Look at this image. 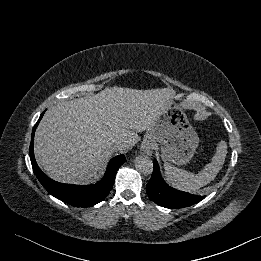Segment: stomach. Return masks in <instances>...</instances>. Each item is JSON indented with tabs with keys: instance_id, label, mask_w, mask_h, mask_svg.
Segmentation results:
<instances>
[{
	"instance_id": "obj_1",
	"label": "stomach",
	"mask_w": 261,
	"mask_h": 261,
	"mask_svg": "<svg viewBox=\"0 0 261 261\" xmlns=\"http://www.w3.org/2000/svg\"><path fill=\"white\" fill-rule=\"evenodd\" d=\"M198 143V135L186 112L170 97L164 101L154 124L147 130L141 148L147 144L160 145L164 161L184 165L193 157Z\"/></svg>"
}]
</instances>
